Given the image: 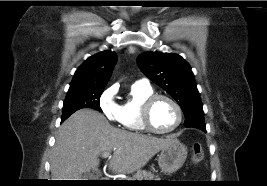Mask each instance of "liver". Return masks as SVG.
Returning <instances> with one entry per match:
<instances>
[{
  "label": "liver",
  "mask_w": 267,
  "mask_h": 186,
  "mask_svg": "<svg viewBox=\"0 0 267 186\" xmlns=\"http://www.w3.org/2000/svg\"><path fill=\"white\" fill-rule=\"evenodd\" d=\"M173 140V136L158 138L117 129L98 111L81 109L59 128L51 155L52 180H80L83 174L97 170L99 155L111 151L109 168L130 174Z\"/></svg>",
  "instance_id": "1"
}]
</instances>
